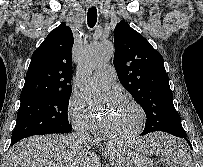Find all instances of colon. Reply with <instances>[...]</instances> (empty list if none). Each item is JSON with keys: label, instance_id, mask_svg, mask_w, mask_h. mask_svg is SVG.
<instances>
[{"label": "colon", "instance_id": "5ec220e1", "mask_svg": "<svg viewBox=\"0 0 203 167\" xmlns=\"http://www.w3.org/2000/svg\"><path fill=\"white\" fill-rule=\"evenodd\" d=\"M156 167H176V166L165 159H161L157 162Z\"/></svg>", "mask_w": 203, "mask_h": 167}]
</instances>
